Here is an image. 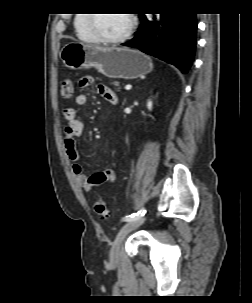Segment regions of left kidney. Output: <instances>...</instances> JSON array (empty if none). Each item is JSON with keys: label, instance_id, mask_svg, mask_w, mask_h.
Segmentation results:
<instances>
[{"label": "left kidney", "instance_id": "obj_1", "mask_svg": "<svg viewBox=\"0 0 252 303\" xmlns=\"http://www.w3.org/2000/svg\"><path fill=\"white\" fill-rule=\"evenodd\" d=\"M147 108H148L149 110L152 109V101H151V100L148 101V103H147Z\"/></svg>", "mask_w": 252, "mask_h": 303}]
</instances>
